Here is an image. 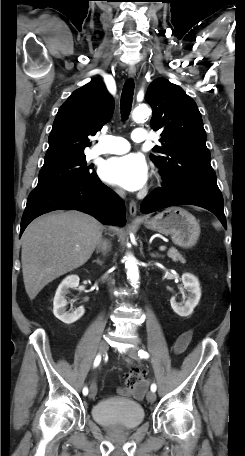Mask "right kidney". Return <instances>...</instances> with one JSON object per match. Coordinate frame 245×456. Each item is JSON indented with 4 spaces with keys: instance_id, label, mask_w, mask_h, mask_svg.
Returning <instances> with one entry per match:
<instances>
[{
    "instance_id": "obj_1",
    "label": "right kidney",
    "mask_w": 245,
    "mask_h": 456,
    "mask_svg": "<svg viewBox=\"0 0 245 456\" xmlns=\"http://www.w3.org/2000/svg\"><path fill=\"white\" fill-rule=\"evenodd\" d=\"M79 280L80 279L77 275L67 276L58 286L54 296L53 313L56 318L68 325L80 319L85 312L83 306H80L71 313L66 311V295L69 293L70 289L78 287Z\"/></svg>"
}]
</instances>
